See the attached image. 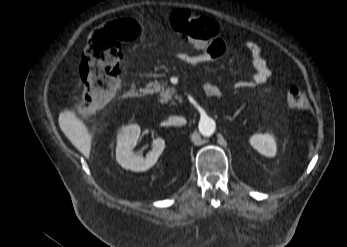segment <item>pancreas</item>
<instances>
[{
	"mask_svg": "<svg viewBox=\"0 0 347 247\" xmlns=\"http://www.w3.org/2000/svg\"><path fill=\"white\" fill-rule=\"evenodd\" d=\"M153 87L155 92L160 93V101L162 103H167L168 101H171L172 104H175V102L172 100L173 95H175V99H180V97L176 94L173 88L165 87L164 85H161L158 81H155L153 83Z\"/></svg>",
	"mask_w": 347,
	"mask_h": 247,
	"instance_id": "obj_1",
	"label": "pancreas"
}]
</instances>
